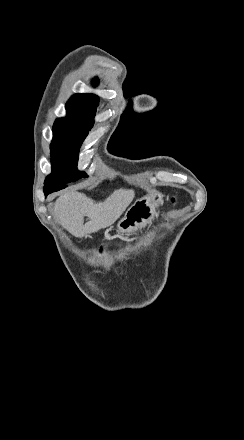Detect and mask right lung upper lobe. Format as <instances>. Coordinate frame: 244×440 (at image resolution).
<instances>
[{
    "mask_svg": "<svg viewBox=\"0 0 244 440\" xmlns=\"http://www.w3.org/2000/svg\"><path fill=\"white\" fill-rule=\"evenodd\" d=\"M98 80L93 81L97 85ZM99 98L94 94H75L68 101L66 108L96 110Z\"/></svg>",
    "mask_w": 244,
    "mask_h": 440,
    "instance_id": "right-lung-upper-lobe-1",
    "label": "right lung upper lobe"
}]
</instances>
